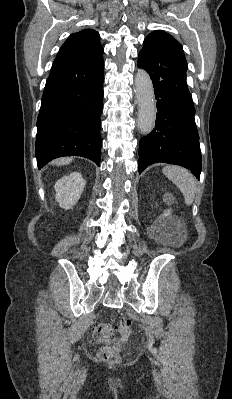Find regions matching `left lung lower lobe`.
I'll list each match as a JSON object with an SVG mask.
<instances>
[{
    "label": "left lung lower lobe",
    "instance_id": "0a47b994",
    "mask_svg": "<svg viewBox=\"0 0 232 399\" xmlns=\"http://www.w3.org/2000/svg\"><path fill=\"white\" fill-rule=\"evenodd\" d=\"M138 67L152 80L157 100L154 129L141 138L138 171L158 162L180 165L199 179L201 151L195 107L186 82L188 66L167 46L144 43Z\"/></svg>",
    "mask_w": 232,
    "mask_h": 399
}]
</instances>
